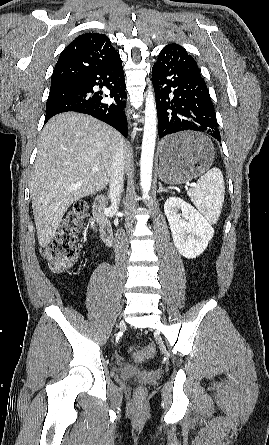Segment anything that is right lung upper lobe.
<instances>
[{
  "mask_svg": "<svg viewBox=\"0 0 269 445\" xmlns=\"http://www.w3.org/2000/svg\"><path fill=\"white\" fill-rule=\"evenodd\" d=\"M120 57L106 35L85 33L61 53L51 79V88L74 85L87 73Z\"/></svg>",
  "mask_w": 269,
  "mask_h": 445,
  "instance_id": "cb5924a9",
  "label": "right lung upper lobe"
}]
</instances>
